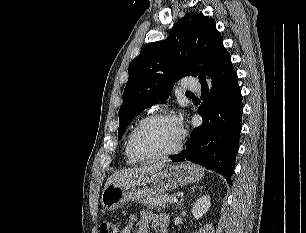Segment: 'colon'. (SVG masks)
<instances>
[{"instance_id":"obj_1","label":"colon","mask_w":306,"mask_h":233,"mask_svg":"<svg viewBox=\"0 0 306 233\" xmlns=\"http://www.w3.org/2000/svg\"><path fill=\"white\" fill-rule=\"evenodd\" d=\"M101 233H123L121 227L113 221L105 220L100 225Z\"/></svg>"}]
</instances>
